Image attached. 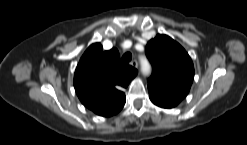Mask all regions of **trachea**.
I'll list each match as a JSON object with an SVG mask.
<instances>
[{"label": "trachea", "instance_id": "1", "mask_svg": "<svg viewBox=\"0 0 247 145\" xmlns=\"http://www.w3.org/2000/svg\"><path fill=\"white\" fill-rule=\"evenodd\" d=\"M131 59H132V54L130 52H127L122 56V61L124 63H129Z\"/></svg>", "mask_w": 247, "mask_h": 145}]
</instances>
